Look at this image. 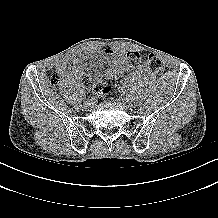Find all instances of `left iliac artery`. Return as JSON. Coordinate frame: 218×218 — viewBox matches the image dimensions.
Listing matches in <instances>:
<instances>
[{
  "label": "left iliac artery",
  "mask_w": 218,
  "mask_h": 218,
  "mask_svg": "<svg viewBox=\"0 0 218 218\" xmlns=\"http://www.w3.org/2000/svg\"><path fill=\"white\" fill-rule=\"evenodd\" d=\"M125 96H126L128 99H131V98H132V95H131L129 92H126V93H125Z\"/></svg>",
  "instance_id": "obj_1"
}]
</instances>
